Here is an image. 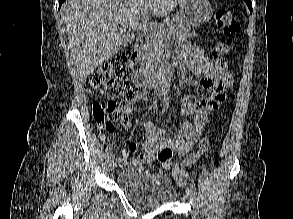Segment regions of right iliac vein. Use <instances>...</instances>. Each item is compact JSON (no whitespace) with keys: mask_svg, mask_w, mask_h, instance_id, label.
<instances>
[{"mask_svg":"<svg viewBox=\"0 0 293 219\" xmlns=\"http://www.w3.org/2000/svg\"><path fill=\"white\" fill-rule=\"evenodd\" d=\"M116 166V162L114 160V158H110L109 159V162H108V167H109V170H113Z\"/></svg>","mask_w":293,"mask_h":219,"instance_id":"obj_1","label":"right iliac vein"}]
</instances>
